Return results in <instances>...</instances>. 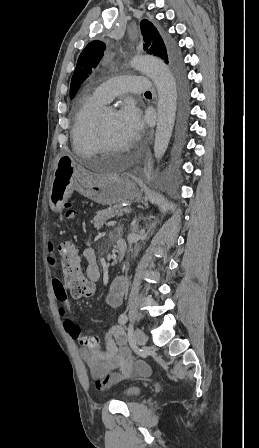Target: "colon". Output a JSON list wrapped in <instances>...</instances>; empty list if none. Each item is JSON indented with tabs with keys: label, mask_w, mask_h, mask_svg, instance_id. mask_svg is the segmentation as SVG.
Returning <instances> with one entry per match:
<instances>
[{
	"label": "colon",
	"mask_w": 259,
	"mask_h": 448,
	"mask_svg": "<svg viewBox=\"0 0 259 448\" xmlns=\"http://www.w3.org/2000/svg\"><path fill=\"white\" fill-rule=\"evenodd\" d=\"M75 211L68 206L66 215L72 218ZM59 262L64 280V287L74 297H90L94 294V287L84 274L82 257L71 241H63L59 245ZM80 344L89 349H98L99 338L96 334L84 335Z\"/></svg>",
	"instance_id": "obj_1"
}]
</instances>
